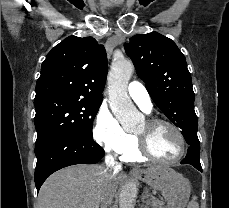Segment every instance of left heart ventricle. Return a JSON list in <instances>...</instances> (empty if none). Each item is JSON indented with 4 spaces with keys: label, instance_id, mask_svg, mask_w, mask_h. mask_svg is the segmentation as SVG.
<instances>
[{
    "label": "left heart ventricle",
    "instance_id": "left-heart-ventricle-1",
    "mask_svg": "<svg viewBox=\"0 0 229 208\" xmlns=\"http://www.w3.org/2000/svg\"><path fill=\"white\" fill-rule=\"evenodd\" d=\"M169 130L173 129L168 126L151 127L145 122L137 134L150 137L147 139V144L152 157H158V160H171L181 155L185 147H178L173 135H169Z\"/></svg>",
    "mask_w": 229,
    "mask_h": 208
}]
</instances>
